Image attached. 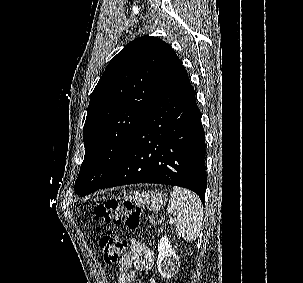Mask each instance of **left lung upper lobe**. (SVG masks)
I'll list each match as a JSON object with an SVG mask.
<instances>
[{"label": "left lung upper lobe", "mask_w": 303, "mask_h": 283, "mask_svg": "<svg viewBox=\"0 0 303 283\" xmlns=\"http://www.w3.org/2000/svg\"><path fill=\"white\" fill-rule=\"evenodd\" d=\"M176 59L169 44L143 36L109 62L87 110L85 157L74 186L77 194L98 188L113 175Z\"/></svg>", "instance_id": "1"}]
</instances>
